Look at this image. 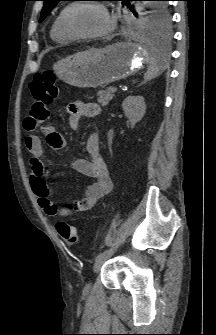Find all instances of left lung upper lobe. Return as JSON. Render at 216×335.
<instances>
[{
	"mask_svg": "<svg viewBox=\"0 0 216 335\" xmlns=\"http://www.w3.org/2000/svg\"><path fill=\"white\" fill-rule=\"evenodd\" d=\"M44 1V7L41 11V17L39 22H42L47 15L52 11V9L57 5L59 1L62 0H42ZM130 8L133 14L137 17V12L130 5L131 0H118ZM145 1L143 9L140 11V18L142 26L144 29L150 33L159 35V36H169L170 34V25L171 18L168 11L167 0H138Z\"/></svg>",
	"mask_w": 216,
	"mask_h": 335,
	"instance_id": "1",
	"label": "left lung upper lobe"
}]
</instances>
